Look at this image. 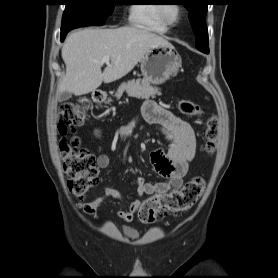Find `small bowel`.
<instances>
[{
	"instance_id": "1",
	"label": "small bowel",
	"mask_w": 278,
	"mask_h": 278,
	"mask_svg": "<svg viewBox=\"0 0 278 278\" xmlns=\"http://www.w3.org/2000/svg\"><path fill=\"white\" fill-rule=\"evenodd\" d=\"M140 117L146 123L159 127L168 141V146L165 149H156L150 155L154 170L164 177L165 181L148 182L143 177H138L137 194L150 196L179 190L183 184V178L187 174L189 163L195 155L196 136L193 128L187 121L153 100L145 101L141 108ZM135 125L136 121L125 125L121 130L122 137H129ZM109 164L110 159L107 155L98 156L97 165L99 168H107ZM110 198L121 199L122 195L118 190L107 187L103 190L102 195L82 204L81 207L87 214L94 215L101 203ZM141 205L140 200H135L127 209L118 211L117 215L123 221L131 222L134 213Z\"/></svg>"
}]
</instances>
